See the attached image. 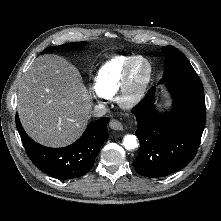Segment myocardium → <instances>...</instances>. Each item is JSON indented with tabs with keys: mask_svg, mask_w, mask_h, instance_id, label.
<instances>
[{
	"mask_svg": "<svg viewBox=\"0 0 221 221\" xmlns=\"http://www.w3.org/2000/svg\"><path fill=\"white\" fill-rule=\"evenodd\" d=\"M140 60L147 65V74L141 85L138 88L133 89L131 85V74L135 63ZM152 76H153V66L151 62L144 56L141 55L134 56L129 61V63L127 64L124 70L120 88L117 93L118 104L122 108L130 109L136 106L138 103H140V101L145 96L147 88L151 82Z\"/></svg>",
	"mask_w": 221,
	"mask_h": 221,
	"instance_id": "f54148a6",
	"label": "myocardium"
}]
</instances>
